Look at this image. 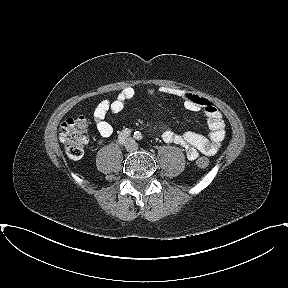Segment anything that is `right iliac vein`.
Segmentation results:
<instances>
[{
    "label": "right iliac vein",
    "mask_w": 288,
    "mask_h": 288,
    "mask_svg": "<svg viewBox=\"0 0 288 288\" xmlns=\"http://www.w3.org/2000/svg\"><path fill=\"white\" fill-rule=\"evenodd\" d=\"M125 148L127 151H132L133 149V144L131 143V141H128L125 145Z\"/></svg>",
    "instance_id": "1"
}]
</instances>
